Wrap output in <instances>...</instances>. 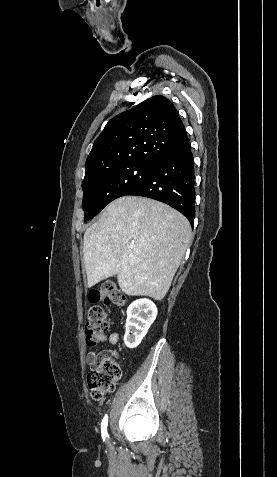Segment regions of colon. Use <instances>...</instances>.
Masks as SVG:
<instances>
[{"mask_svg": "<svg viewBox=\"0 0 277 477\" xmlns=\"http://www.w3.org/2000/svg\"><path fill=\"white\" fill-rule=\"evenodd\" d=\"M90 305L86 313L85 333L89 345L94 346L105 339L108 330L107 313L102 306L125 304L124 294L113 282H106L100 290L89 294ZM121 366L116 353L106 355L90 365L87 382L94 400H101L112 391L121 378Z\"/></svg>", "mask_w": 277, "mask_h": 477, "instance_id": "obj_1", "label": "colon"}]
</instances>
